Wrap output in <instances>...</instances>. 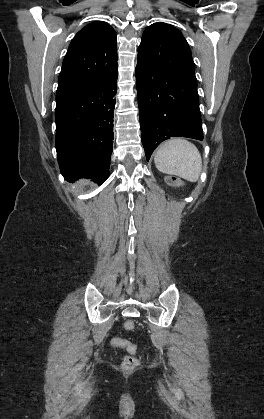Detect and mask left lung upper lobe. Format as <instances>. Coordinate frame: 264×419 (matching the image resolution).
Returning a JSON list of instances; mask_svg holds the SVG:
<instances>
[{"label":"left lung upper lobe","mask_w":264,"mask_h":419,"mask_svg":"<svg viewBox=\"0 0 264 419\" xmlns=\"http://www.w3.org/2000/svg\"><path fill=\"white\" fill-rule=\"evenodd\" d=\"M152 40H164L167 42L169 56L177 60V63H182L186 75L195 76V64L190 47L178 29L166 23H154L144 31L141 43Z\"/></svg>","instance_id":"left-lung-upper-lobe-1"}]
</instances>
